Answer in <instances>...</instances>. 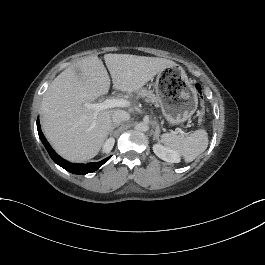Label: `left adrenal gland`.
<instances>
[{"mask_svg":"<svg viewBox=\"0 0 265 265\" xmlns=\"http://www.w3.org/2000/svg\"><path fill=\"white\" fill-rule=\"evenodd\" d=\"M160 134V128H159V124L156 125V134L154 135L153 140H156V142H159L158 140V136Z\"/></svg>","mask_w":265,"mask_h":265,"instance_id":"1","label":"left adrenal gland"}]
</instances>
